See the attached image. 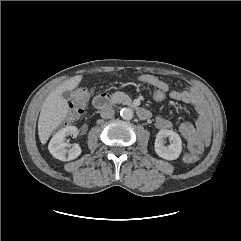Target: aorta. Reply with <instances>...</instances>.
Returning <instances> with one entry per match:
<instances>
[{
	"label": "aorta",
	"instance_id": "1",
	"mask_svg": "<svg viewBox=\"0 0 241 241\" xmlns=\"http://www.w3.org/2000/svg\"><path fill=\"white\" fill-rule=\"evenodd\" d=\"M120 115L124 120H131L134 116V113L130 108H123L120 111Z\"/></svg>",
	"mask_w": 241,
	"mask_h": 241
}]
</instances>
